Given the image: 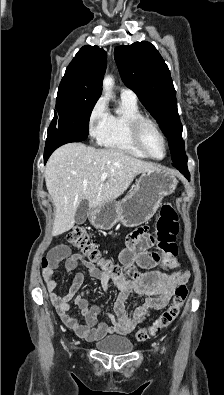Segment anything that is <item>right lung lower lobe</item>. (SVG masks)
I'll return each mask as SVG.
<instances>
[{
  "mask_svg": "<svg viewBox=\"0 0 224 395\" xmlns=\"http://www.w3.org/2000/svg\"><path fill=\"white\" fill-rule=\"evenodd\" d=\"M70 142H80L75 138L65 135H56L48 133V137L46 139L45 151H44V164L48 160L49 156L53 153L55 149Z\"/></svg>",
  "mask_w": 224,
  "mask_h": 395,
  "instance_id": "1",
  "label": "right lung lower lobe"
}]
</instances>
